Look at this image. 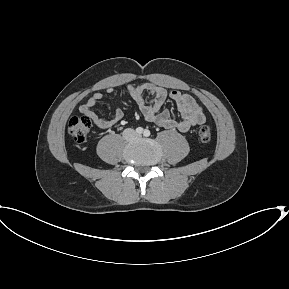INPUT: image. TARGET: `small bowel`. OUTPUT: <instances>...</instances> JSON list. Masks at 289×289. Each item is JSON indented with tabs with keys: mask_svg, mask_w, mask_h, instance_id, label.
<instances>
[{
	"mask_svg": "<svg viewBox=\"0 0 289 289\" xmlns=\"http://www.w3.org/2000/svg\"><path fill=\"white\" fill-rule=\"evenodd\" d=\"M127 94L137 103L139 109L148 122L155 123L166 129H177L187 132L194 126L205 122V114L202 106L189 94L177 90L167 91L165 88L145 83L141 85H127ZM112 93L113 89H107ZM103 98L101 92H96L80 107V112L88 116L94 124L101 129H108L120 122L124 113L116 108L111 119L97 115L93 108ZM170 98L175 102L181 114V119H175L168 109L160 110L164 102Z\"/></svg>",
	"mask_w": 289,
	"mask_h": 289,
	"instance_id": "1",
	"label": "small bowel"
}]
</instances>
